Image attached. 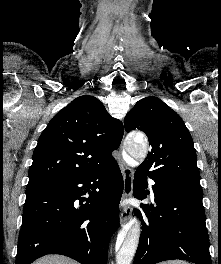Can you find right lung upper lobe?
Segmentation results:
<instances>
[{
    "label": "right lung upper lobe",
    "instance_id": "1",
    "mask_svg": "<svg viewBox=\"0 0 221 264\" xmlns=\"http://www.w3.org/2000/svg\"><path fill=\"white\" fill-rule=\"evenodd\" d=\"M122 123L94 96L83 95L60 110L39 137L29 169L31 187L90 173L113 159L123 137Z\"/></svg>",
    "mask_w": 221,
    "mask_h": 264
}]
</instances>
